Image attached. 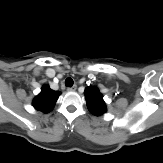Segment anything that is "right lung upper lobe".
Listing matches in <instances>:
<instances>
[{
  "label": "right lung upper lobe",
  "instance_id": "1",
  "mask_svg": "<svg viewBox=\"0 0 163 163\" xmlns=\"http://www.w3.org/2000/svg\"><path fill=\"white\" fill-rule=\"evenodd\" d=\"M61 92L52 90L48 85L42 87L41 92L34 98L35 109L47 113L52 110Z\"/></svg>",
  "mask_w": 163,
  "mask_h": 163
}]
</instances>
